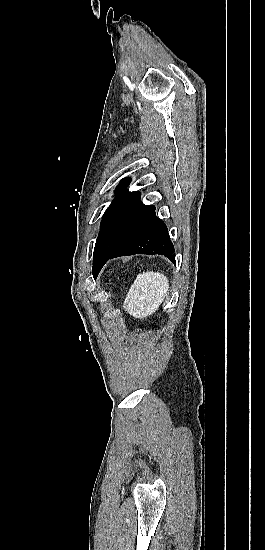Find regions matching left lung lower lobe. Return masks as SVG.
I'll return each mask as SVG.
<instances>
[{"label":"left lung lower lobe","instance_id":"1","mask_svg":"<svg viewBox=\"0 0 265 550\" xmlns=\"http://www.w3.org/2000/svg\"><path fill=\"white\" fill-rule=\"evenodd\" d=\"M133 254H162L175 262L174 246L167 227L156 217L155 208L142 219L110 252L94 254L93 276L97 277L104 264L112 258Z\"/></svg>","mask_w":265,"mask_h":550}]
</instances>
